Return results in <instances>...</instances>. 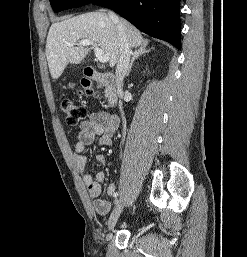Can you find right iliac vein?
<instances>
[{
	"instance_id": "obj_1",
	"label": "right iliac vein",
	"mask_w": 247,
	"mask_h": 257,
	"mask_svg": "<svg viewBox=\"0 0 247 257\" xmlns=\"http://www.w3.org/2000/svg\"><path fill=\"white\" fill-rule=\"evenodd\" d=\"M124 207V200L122 197L118 198L116 200V205L110 215L109 221H108V230L112 231L118 221V218L123 210Z\"/></svg>"
}]
</instances>
